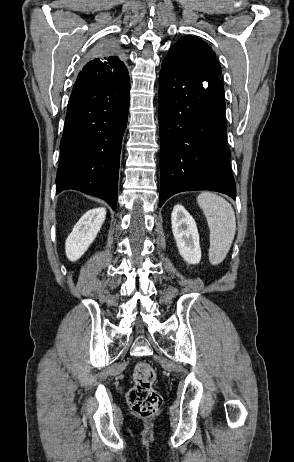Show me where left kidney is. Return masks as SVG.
I'll list each match as a JSON object with an SVG mask.
<instances>
[{
	"mask_svg": "<svg viewBox=\"0 0 294 462\" xmlns=\"http://www.w3.org/2000/svg\"><path fill=\"white\" fill-rule=\"evenodd\" d=\"M171 223L180 255L187 263L198 264L201 249L195 220L182 205L177 204L171 214Z\"/></svg>",
	"mask_w": 294,
	"mask_h": 462,
	"instance_id": "obj_1",
	"label": "left kidney"
}]
</instances>
